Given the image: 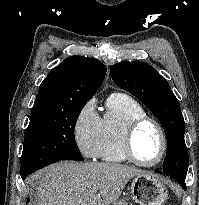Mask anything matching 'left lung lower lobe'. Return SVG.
<instances>
[{
  "label": "left lung lower lobe",
  "instance_id": "1",
  "mask_svg": "<svg viewBox=\"0 0 199 205\" xmlns=\"http://www.w3.org/2000/svg\"><path fill=\"white\" fill-rule=\"evenodd\" d=\"M156 173H158L156 170H155ZM178 182L180 183L181 187L186 190V184H185V180H178Z\"/></svg>",
  "mask_w": 199,
  "mask_h": 205
}]
</instances>
